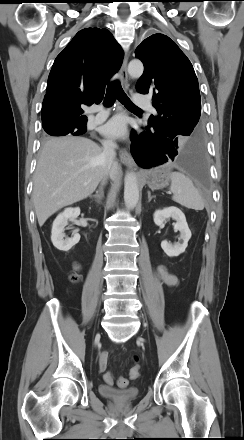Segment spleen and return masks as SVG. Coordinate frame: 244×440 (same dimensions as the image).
<instances>
[{
  "label": "spleen",
  "instance_id": "obj_1",
  "mask_svg": "<svg viewBox=\"0 0 244 440\" xmlns=\"http://www.w3.org/2000/svg\"><path fill=\"white\" fill-rule=\"evenodd\" d=\"M169 178L171 180L170 191L173 193V201L188 209L196 211L204 209V200L188 177L182 173L173 172Z\"/></svg>",
  "mask_w": 244,
  "mask_h": 440
}]
</instances>
